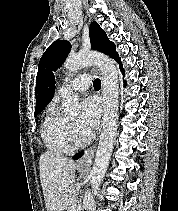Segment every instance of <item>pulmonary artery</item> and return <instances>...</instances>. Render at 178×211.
<instances>
[{"instance_id":"pulmonary-artery-1","label":"pulmonary artery","mask_w":178,"mask_h":211,"mask_svg":"<svg viewBox=\"0 0 178 211\" xmlns=\"http://www.w3.org/2000/svg\"><path fill=\"white\" fill-rule=\"evenodd\" d=\"M92 83V76L90 74H83L77 76L69 84L60 87L58 94L60 97H65L73 92H83L88 89Z\"/></svg>"}]
</instances>
